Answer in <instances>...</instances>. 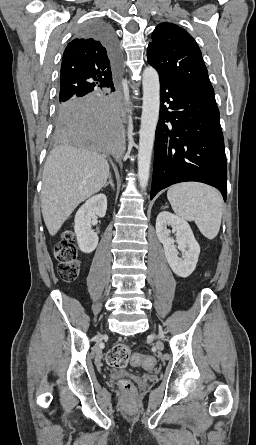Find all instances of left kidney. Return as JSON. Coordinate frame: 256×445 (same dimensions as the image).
Listing matches in <instances>:
<instances>
[{
    "label": "left kidney",
    "instance_id": "left-kidney-1",
    "mask_svg": "<svg viewBox=\"0 0 256 445\" xmlns=\"http://www.w3.org/2000/svg\"><path fill=\"white\" fill-rule=\"evenodd\" d=\"M167 226L174 230L178 249L184 253L183 258L178 257L175 240L170 237L171 231ZM156 234L163 244L166 259L173 272L183 278L191 275L198 262L200 246L188 222L170 212H160L156 219Z\"/></svg>",
    "mask_w": 256,
    "mask_h": 445
}]
</instances>
